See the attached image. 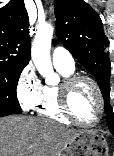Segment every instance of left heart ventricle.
I'll return each instance as SVG.
<instances>
[{"label": "left heart ventricle", "mask_w": 114, "mask_h": 156, "mask_svg": "<svg viewBox=\"0 0 114 156\" xmlns=\"http://www.w3.org/2000/svg\"><path fill=\"white\" fill-rule=\"evenodd\" d=\"M70 104L74 114L83 122H92L98 113V98L92 85L80 82L73 89Z\"/></svg>", "instance_id": "left-heart-ventricle-1"}]
</instances>
